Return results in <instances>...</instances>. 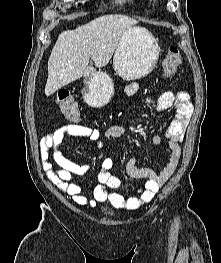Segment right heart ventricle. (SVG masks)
Segmentation results:
<instances>
[{
  "instance_id": "obj_1",
  "label": "right heart ventricle",
  "mask_w": 221,
  "mask_h": 263,
  "mask_svg": "<svg viewBox=\"0 0 221 263\" xmlns=\"http://www.w3.org/2000/svg\"><path fill=\"white\" fill-rule=\"evenodd\" d=\"M122 1H124V2H134V0H122Z\"/></svg>"
}]
</instances>
